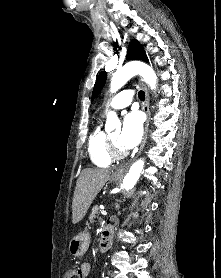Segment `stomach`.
<instances>
[{"label": "stomach", "instance_id": "0dacf381", "mask_svg": "<svg viewBox=\"0 0 221 278\" xmlns=\"http://www.w3.org/2000/svg\"><path fill=\"white\" fill-rule=\"evenodd\" d=\"M112 182H117L120 177L113 174L110 177ZM90 242V235L88 232L84 231L76 235L69 243V252L75 257L82 256L86 253Z\"/></svg>", "mask_w": 221, "mask_h": 278}]
</instances>
